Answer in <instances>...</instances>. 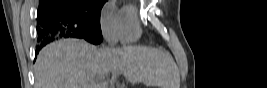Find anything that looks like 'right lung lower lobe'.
<instances>
[{
    "mask_svg": "<svg viewBox=\"0 0 267 88\" xmlns=\"http://www.w3.org/2000/svg\"><path fill=\"white\" fill-rule=\"evenodd\" d=\"M37 21L39 23L37 26V41L40 45L36 52H38L42 46L59 37L81 38L93 44H99L103 40L100 33L91 31L87 29L85 25L76 23L74 20L57 12L39 9Z\"/></svg>",
    "mask_w": 267,
    "mask_h": 88,
    "instance_id": "obj_1",
    "label": "right lung lower lobe"
}]
</instances>
